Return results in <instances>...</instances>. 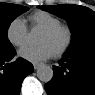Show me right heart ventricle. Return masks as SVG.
I'll return each mask as SVG.
<instances>
[{"label": "right heart ventricle", "instance_id": "right-heart-ventricle-1", "mask_svg": "<svg viewBox=\"0 0 95 95\" xmlns=\"http://www.w3.org/2000/svg\"><path fill=\"white\" fill-rule=\"evenodd\" d=\"M29 20L32 28L48 29L61 24V20L46 11H36L30 15Z\"/></svg>", "mask_w": 95, "mask_h": 95}]
</instances>
